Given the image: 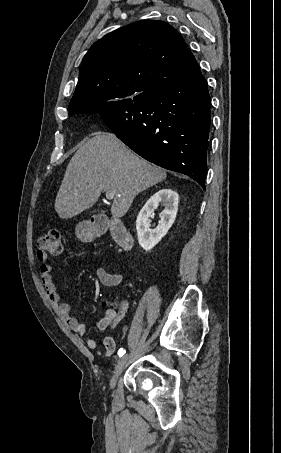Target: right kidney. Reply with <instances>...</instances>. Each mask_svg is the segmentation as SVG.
Masks as SVG:
<instances>
[{"label": "right kidney", "mask_w": 281, "mask_h": 453, "mask_svg": "<svg viewBox=\"0 0 281 453\" xmlns=\"http://www.w3.org/2000/svg\"><path fill=\"white\" fill-rule=\"evenodd\" d=\"M159 202L164 204V208L159 214L161 220L156 229H150L151 220L149 216L154 214V210L157 208ZM178 202L179 194L178 192H175V190H172V188H161V190L155 192V194L150 196L149 200L145 202L136 220L139 245L144 251H151V249L161 241L162 237H165L166 233H168L176 218Z\"/></svg>", "instance_id": "1"}]
</instances>
